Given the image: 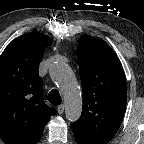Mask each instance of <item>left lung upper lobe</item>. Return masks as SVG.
Here are the masks:
<instances>
[{"label":"left lung upper lobe","mask_w":144,"mask_h":144,"mask_svg":"<svg viewBox=\"0 0 144 144\" xmlns=\"http://www.w3.org/2000/svg\"><path fill=\"white\" fill-rule=\"evenodd\" d=\"M77 57L83 107L81 117L72 125L75 138L107 144L125 113L127 90L123 69L111 47L89 35L79 39Z\"/></svg>","instance_id":"left-lung-upper-lobe-1"}]
</instances>
